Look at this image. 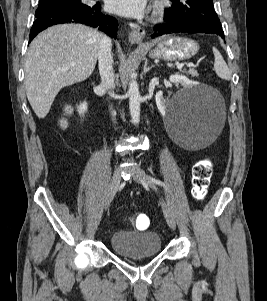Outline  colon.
Segmentation results:
<instances>
[{"label":"colon","mask_w":267,"mask_h":301,"mask_svg":"<svg viewBox=\"0 0 267 301\" xmlns=\"http://www.w3.org/2000/svg\"><path fill=\"white\" fill-rule=\"evenodd\" d=\"M70 114V108L64 110V117L60 120V126L65 127L67 124L66 116ZM213 171V163L209 159L199 161L193 168L192 174V194L193 197L202 201L205 199L210 185ZM133 225L137 229H146L149 226V218L143 213H137L132 218Z\"/></svg>","instance_id":"obj_1"}]
</instances>
